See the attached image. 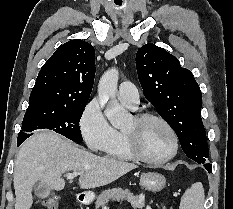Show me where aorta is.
Segmentation results:
<instances>
[{"label":"aorta","mask_w":233,"mask_h":209,"mask_svg":"<svg viewBox=\"0 0 233 209\" xmlns=\"http://www.w3.org/2000/svg\"><path fill=\"white\" fill-rule=\"evenodd\" d=\"M119 73L115 68L108 69L98 84L100 105L105 107V116L115 128H123L131 120V115L116 99Z\"/></svg>","instance_id":"762f6f07"}]
</instances>
